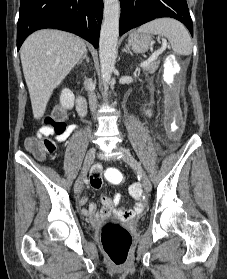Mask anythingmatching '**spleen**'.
Masks as SVG:
<instances>
[{
    "mask_svg": "<svg viewBox=\"0 0 227 279\" xmlns=\"http://www.w3.org/2000/svg\"><path fill=\"white\" fill-rule=\"evenodd\" d=\"M137 32L165 36L176 54L190 55L192 53V43L188 31L174 19H156L139 27Z\"/></svg>",
    "mask_w": 227,
    "mask_h": 279,
    "instance_id": "spleen-1",
    "label": "spleen"
}]
</instances>
